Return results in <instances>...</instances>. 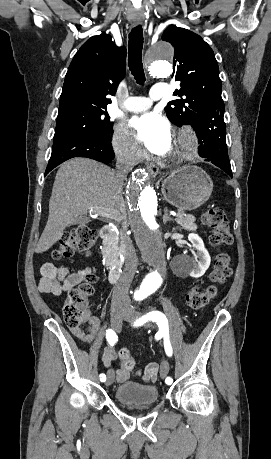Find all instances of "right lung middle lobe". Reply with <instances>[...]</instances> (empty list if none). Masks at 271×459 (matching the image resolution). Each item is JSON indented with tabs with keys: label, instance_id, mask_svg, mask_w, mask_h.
<instances>
[{
	"label": "right lung middle lobe",
	"instance_id": "dd1d6c3e",
	"mask_svg": "<svg viewBox=\"0 0 271 459\" xmlns=\"http://www.w3.org/2000/svg\"><path fill=\"white\" fill-rule=\"evenodd\" d=\"M113 122L106 109H75L58 112L53 143L73 135L108 137Z\"/></svg>",
	"mask_w": 271,
	"mask_h": 459
}]
</instances>
